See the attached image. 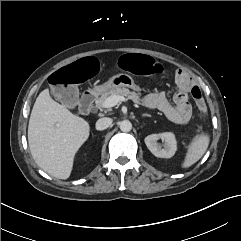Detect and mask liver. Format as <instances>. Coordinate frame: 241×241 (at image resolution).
Masks as SVG:
<instances>
[{
	"label": "liver",
	"instance_id": "1",
	"mask_svg": "<svg viewBox=\"0 0 241 241\" xmlns=\"http://www.w3.org/2000/svg\"><path fill=\"white\" fill-rule=\"evenodd\" d=\"M86 120L54 101L49 90L37 97L28 124V144L36 164L49 175L68 179L76 152L89 137Z\"/></svg>",
	"mask_w": 241,
	"mask_h": 241
}]
</instances>
